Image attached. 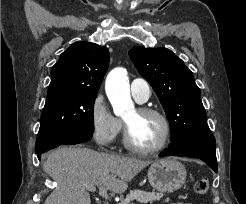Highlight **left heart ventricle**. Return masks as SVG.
I'll list each match as a JSON object with an SVG mask.
<instances>
[{
	"label": "left heart ventricle",
	"instance_id": "left-heart-ventricle-1",
	"mask_svg": "<svg viewBox=\"0 0 246 204\" xmlns=\"http://www.w3.org/2000/svg\"><path fill=\"white\" fill-rule=\"evenodd\" d=\"M132 141L140 147H154L162 139L164 126L162 121L154 115H142L137 110L129 113L125 118Z\"/></svg>",
	"mask_w": 246,
	"mask_h": 204
}]
</instances>
